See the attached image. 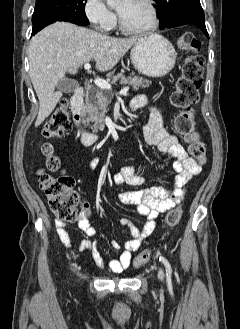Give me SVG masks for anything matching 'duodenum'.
<instances>
[{"instance_id": "obj_1", "label": "duodenum", "mask_w": 240, "mask_h": 329, "mask_svg": "<svg viewBox=\"0 0 240 329\" xmlns=\"http://www.w3.org/2000/svg\"><path fill=\"white\" fill-rule=\"evenodd\" d=\"M83 94L84 89L83 87H78L70 101V110L72 115V120L76 127L81 126V113H82V106H83ZM98 140V136L92 133L83 132L82 133V141L86 147L92 146Z\"/></svg>"}]
</instances>
